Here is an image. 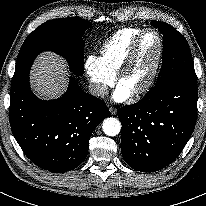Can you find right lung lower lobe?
<instances>
[{
  "mask_svg": "<svg viewBox=\"0 0 206 206\" xmlns=\"http://www.w3.org/2000/svg\"><path fill=\"white\" fill-rule=\"evenodd\" d=\"M108 116L106 104L82 91L73 78L56 100L38 99L30 89L29 75L11 87L12 133L26 156L50 172L78 167L86 158L93 130Z\"/></svg>",
  "mask_w": 206,
  "mask_h": 206,
  "instance_id": "1",
  "label": "right lung lower lobe"
}]
</instances>
